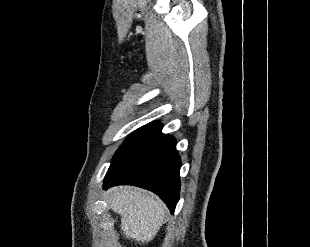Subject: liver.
<instances>
[{"label":"liver","mask_w":310,"mask_h":247,"mask_svg":"<svg viewBox=\"0 0 310 247\" xmlns=\"http://www.w3.org/2000/svg\"><path fill=\"white\" fill-rule=\"evenodd\" d=\"M111 210L121 216V230L139 244L150 242L165 216L164 204L153 194L134 187H114L107 191Z\"/></svg>","instance_id":"6515ba94"}]
</instances>
